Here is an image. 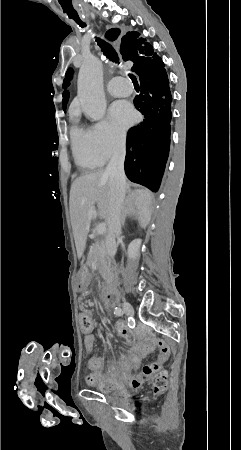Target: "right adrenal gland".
I'll return each instance as SVG.
<instances>
[{
  "label": "right adrenal gland",
  "mask_w": 241,
  "mask_h": 450,
  "mask_svg": "<svg viewBox=\"0 0 241 450\" xmlns=\"http://www.w3.org/2000/svg\"><path fill=\"white\" fill-rule=\"evenodd\" d=\"M132 214H133V212H130V214H128V216H132ZM125 218H126V214H125ZM125 218H124V220H123V222H122L123 226H124V224H125Z\"/></svg>",
  "instance_id": "1"
}]
</instances>
